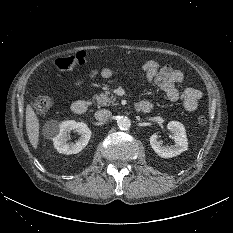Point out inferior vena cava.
I'll list each match as a JSON object with an SVG mask.
<instances>
[{
    "mask_svg": "<svg viewBox=\"0 0 233 233\" xmlns=\"http://www.w3.org/2000/svg\"><path fill=\"white\" fill-rule=\"evenodd\" d=\"M112 116V113L111 111L109 110H98L96 113H95V119L98 120V121H101V122H105L107 120H109Z\"/></svg>",
    "mask_w": 233,
    "mask_h": 233,
    "instance_id": "602c4592",
    "label": "inferior vena cava"
}]
</instances>
